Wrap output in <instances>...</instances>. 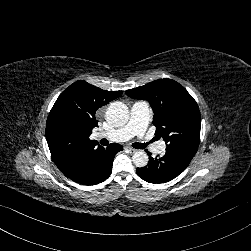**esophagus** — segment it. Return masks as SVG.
Instances as JSON below:
<instances>
[{"mask_svg": "<svg viewBox=\"0 0 251 251\" xmlns=\"http://www.w3.org/2000/svg\"><path fill=\"white\" fill-rule=\"evenodd\" d=\"M126 149L131 153V154H133V153H135L137 150L136 149H134V148H132V147H126Z\"/></svg>", "mask_w": 251, "mask_h": 251, "instance_id": "obj_1", "label": "esophagus"}]
</instances>
